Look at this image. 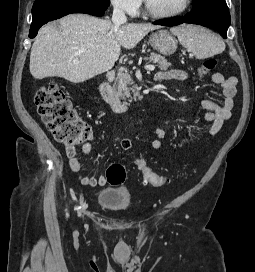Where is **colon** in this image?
I'll list each match as a JSON object with an SVG mask.
<instances>
[{
	"label": "colon",
	"instance_id": "colon-1",
	"mask_svg": "<svg viewBox=\"0 0 255 272\" xmlns=\"http://www.w3.org/2000/svg\"><path fill=\"white\" fill-rule=\"evenodd\" d=\"M216 64L215 58L205 59L197 70L198 75L204 77L215 68ZM34 101L43 123L51 131L55 140L63 144L65 148H75L91 138L90 126L77 116L70 101L56 83L52 82L40 88L35 94ZM136 164L148 184L160 187L167 182V179L154 172L144 159H138ZM125 178L126 170L121 164L109 165L107 180L110 184L119 185Z\"/></svg>",
	"mask_w": 255,
	"mask_h": 272
}]
</instances>
